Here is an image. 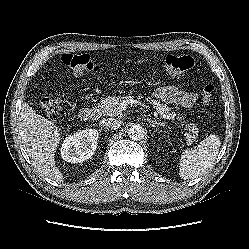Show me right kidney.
I'll use <instances>...</instances> for the list:
<instances>
[{"label":"right kidney","mask_w":249,"mask_h":249,"mask_svg":"<svg viewBox=\"0 0 249 249\" xmlns=\"http://www.w3.org/2000/svg\"><path fill=\"white\" fill-rule=\"evenodd\" d=\"M99 133L87 128L69 135L61 146V157L68 163H81L91 158L97 148Z\"/></svg>","instance_id":"1"}]
</instances>
